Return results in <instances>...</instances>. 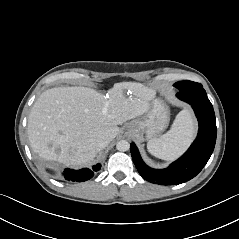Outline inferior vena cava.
Wrapping results in <instances>:
<instances>
[{"label":"inferior vena cava","mask_w":239,"mask_h":239,"mask_svg":"<svg viewBox=\"0 0 239 239\" xmlns=\"http://www.w3.org/2000/svg\"><path fill=\"white\" fill-rule=\"evenodd\" d=\"M109 140L104 138V139H101L99 144H98V148L99 150H102L103 148H105L108 144H109Z\"/></svg>","instance_id":"obj_1"}]
</instances>
